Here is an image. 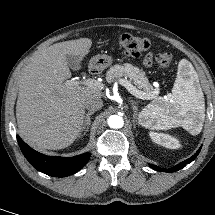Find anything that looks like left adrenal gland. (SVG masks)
Returning a JSON list of instances; mask_svg holds the SVG:
<instances>
[{"instance_id": "1", "label": "left adrenal gland", "mask_w": 215, "mask_h": 215, "mask_svg": "<svg viewBox=\"0 0 215 215\" xmlns=\"http://www.w3.org/2000/svg\"><path fill=\"white\" fill-rule=\"evenodd\" d=\"M131 105H132V109L134 111V119L137 117V112H138V107H137V103L133 100L130 101Z\"/></svg>"}]
</instances>
